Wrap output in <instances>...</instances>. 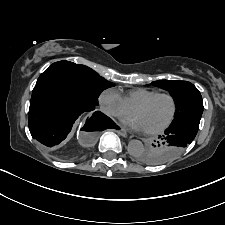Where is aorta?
<instances>
[{"label":"aorta","mask_w":225,"mask_h":225,"mask_svg":"<svg viewBox=\"0 0 225 225\" xmlns=\"http://www.w3.org/2000/svg\"><path fill=\"white\" fill-rule=\"evenodd\" d=\"M127 151L131 156L137 157L141 152L144 151V145L140 140H131L128 143Z\"/></svg>","instance_id":"762f6f07"}]
</instances>
